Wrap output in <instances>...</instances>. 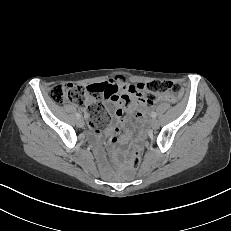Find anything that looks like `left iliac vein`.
<instances>
[{
    "mask_svg": "<svg viewBox=\"0 0 231 231\" xmlns=\"http://www.w3.org/2000/svg\"><path fill=\"white\" fill-rule=\"evenodd\" d=\"M151 127L153 129H158L160 126V122L157 119H153L150 123Z\"/></svg>",
    "mask_w": 231,
    "mask_h": 231,
    "instance_id": "4c4485c4",
    "label": "left iliac vein"
}]
</instances>
